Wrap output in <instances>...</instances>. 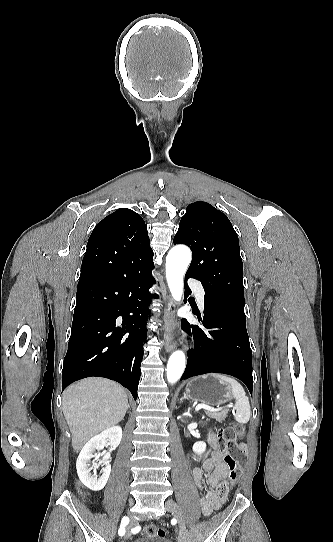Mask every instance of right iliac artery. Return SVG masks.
<instances>
[{
  "label": "right iliac artery",
  "instance_id": "obj_1",
  "mask_svg": "<svg viewBox=\"0 0 333 542\" xmlns=\"http://www.w3.org/2000/svg\"><path fill=\"white\" fill-rule=\"evenodd\" d=\"M129 523V518L128 517H123L122 521H121V526H120V529L118 531V534L120 536H123L125 534V526Z\"/></svg>",
  "mask_w": 333,
  "mask_h": 542
}]
</instances>
